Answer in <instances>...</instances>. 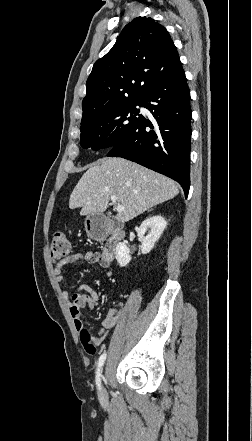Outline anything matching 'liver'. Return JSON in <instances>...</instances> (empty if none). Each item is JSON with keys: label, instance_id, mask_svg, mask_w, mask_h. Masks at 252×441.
<instances>
[{"label": "liver", "instance_id": "1", "mask_svg": "<svg viewBox=\"0 0 252 441\" xmlns=\"http://www.w3.org/2000/svg\"><path fill=\"white\" fill-rule=\"evenodd\" d=\"M179 193L172 179L120 157L98 160L78 181L69 199V208H81L80 215L102 214L111 196L125 209L119 222H128L148 209Z\"/></svg>", "mask_w": 252, "mask_h": 441}]
</instances>
